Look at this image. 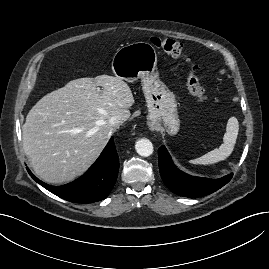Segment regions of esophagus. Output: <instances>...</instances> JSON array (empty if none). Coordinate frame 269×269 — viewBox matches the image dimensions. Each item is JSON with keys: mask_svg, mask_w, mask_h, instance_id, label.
<instances>
[{"mask_svg": "<svg viewBox=\"0 0 269 269\" xmlns=\"http://www.w3.org/2000/svg\"><path fill=\"white\" fill-rule=\"evenodd\" d=\"M149 127H150V130H152V131H155L156 130V127L153 124L150 125Z\"/></svg>", "mask_w": 269, "mask_h": 269, "instance_id": "esophagus-1", "label": "esophagus"}]
</instances>
